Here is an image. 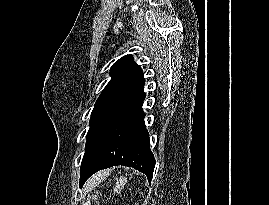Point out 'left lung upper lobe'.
Returning a JSON list of instances; mask_svg holds the SVG:
<instances>
[{
	"label": "left lung upper lobe",
	"mask_w": 269,
	"mask_h": 205,
	"mask_svg": "<svg viewBox=\"0 0 269 205\" xmlns=\"http://www.w3.org/2000/svg\"><path fill=\"white\" fill-rule=\"evenodd\" d=\"M110 75L112 78L100 94L91 113L86 144L102 125L143 93V71L134 62L132 55H125L117 60L111 67Z\"/></svg>",
	"instance_id": "5c2ea615"
}]
</instances>
